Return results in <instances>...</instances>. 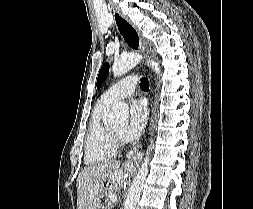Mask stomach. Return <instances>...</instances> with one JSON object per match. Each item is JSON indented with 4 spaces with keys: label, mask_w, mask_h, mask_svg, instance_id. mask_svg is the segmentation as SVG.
<instances>
[{
    "label": "stomach",
    "mask_w": 253,
    "mask_h": 209,
    "mask_svg": "<svg viewBox=\"0 0 253 209\" xmlns=\"http://www.w3.org/2000/svg\"><path fill=\"white\" fill-rule=\"evenodd\" d=\"M112 182L110 181H101V190H107L109 187H112ZM98 209H109V206H98Z\"/></svg>",
    "instance_id": "stomach-1"
}]
</instances>
